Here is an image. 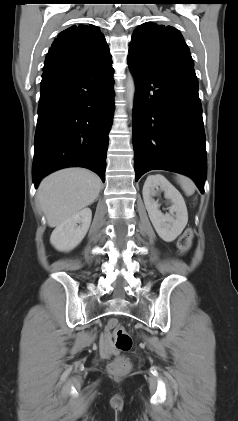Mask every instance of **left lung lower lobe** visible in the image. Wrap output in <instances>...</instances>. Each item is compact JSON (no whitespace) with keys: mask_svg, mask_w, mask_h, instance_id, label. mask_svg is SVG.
Masks as SVG:
<instances>
[{"mask_svg":"<svg viewBox=\"0 0 238 421\" xmlns=\"http://www.w3.org/2000/svg\"><path fill=\"white\" fill-rule=\"evenodd\" d=\"M136 83L133 109L135 179L150 170L191 177L204 193L205 133L194 67L151 69L128 57Z\"/></svg>","mask_w":238,"mask_h":421,"instance_id":"obj_1","label":"left lung lower lobe"}]
</instances>
